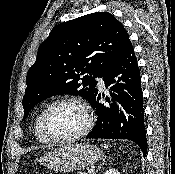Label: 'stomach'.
Returning a JSON list of instances; mask_svg holds the SVG:
<instances>
[{"instance_id":"1","label":"stomach","mask_w":175,"mask_h":174,"mask_svg":"<svg viewBox=\"0 0 175 174\" xmlns=\"http://www.w3.org/2000/svg\"><path fill=\"white\" fill-rule=\"evenodd\" d=\"M102 156V151L96 146L78 143L52 149L40 158V162L55 171L70 172L90 166Z\"/></svg>"}]
</instances>
